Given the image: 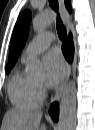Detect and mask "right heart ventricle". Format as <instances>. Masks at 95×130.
Listing matches in <instances>:
<instances>
[{
    "label": "right heart ventricle",
    "instance_id": "right-heart-ventricle-1",
    "mask_svg": "<svg viewBox=\"0 0 95 130\" xmlns=\"http://www.w3.org/2000/svg\"><path fill=\"white\" fill-rule=\"evenodd\" d=\"M8 95L11 103L19 109L37 108L42 102L38 83L20 69L12 75L8 83Z\"/></svg>",
    "mask_w": 95,
    "mask_h": 130
}]
</instances>
